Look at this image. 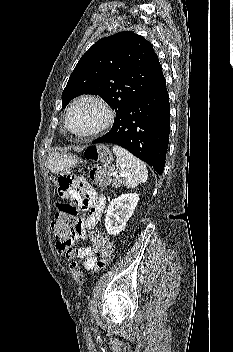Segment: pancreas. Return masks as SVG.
Instances as JSON below:
<instances>
[{
    "label": "pancreas",
    "instance_id": "obj_1",
    "mask_svg": "<svg viewBox=\"0 0 233 352\" xmlns=\"http://www.w3.org/2000/svg\"><path fill=\"white\" fill-rule=\"evenodd\" d=\"M121 185H122V181H121L120 178H117V179L112 183V186H113V187H116V188H119Z\"/></svg>",
    "mask_w": 233,
    "mask_h": 352
}]
</instances>
